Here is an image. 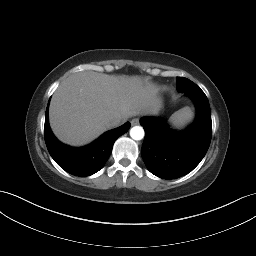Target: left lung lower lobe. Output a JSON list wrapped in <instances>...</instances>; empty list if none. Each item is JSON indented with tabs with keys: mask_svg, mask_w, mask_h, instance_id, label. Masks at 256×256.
<instances>
[{
	"mask_svg": "<svg viewBox=\"0 0 256 256\" xmlns=\"http://www.w3.org/2000/svg\"><path fill=\"white\" fill-rule=\"evenodd\" d=\"M197 109L195 122L177 132L163 120L142 118L145 130L141 155L148 170L162 179H176L191 172L205 156L212 136L211 110L204 92L192 83L184 91Z\"/></svg>",
	"mask_w": 256,
	"mask_h": 256,
	"instance_id": "1",
	"label": "left lung lower lobe"
}]
</instances>
